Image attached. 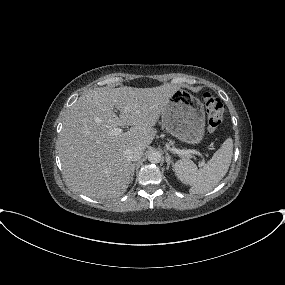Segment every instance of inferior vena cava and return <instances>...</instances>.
<instances>
[{
	"mask_svg": "<svg viewBox=\"0 0 285 285\" xmlns=\"http://www.w3.org/2000/svg\"><path fill=\"white\" fill-rule=\"evenodd\" d=\"M127 158L130 161H137L143 155V150L140 147H131L126 151Z\"/></svg>",
	"mask_w": 285,
	"mask_h": 285,
	"instance_id": "obj_1",
	"label": "inferior vena cava"
}]
</instances>
